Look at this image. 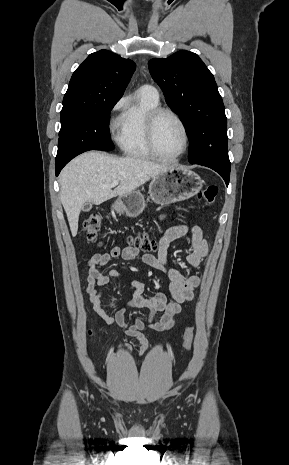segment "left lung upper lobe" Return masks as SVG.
Returning <instances> with one entry per match:
<instances>
[{"label": "left lung upper lobe", "mask_w": 289, "mask_h": 465, "mask_svg": "<svg viewBox=\"0 0 289 465\" xmlns=\"http://www.w3.org/2000/svg\"><path fill=\"white\" fill-rule=\"evenodd\" d=\"M167 104L181 118L190 141V163L230 165L227 118L213 74L195 53L182 50L148 62Z\"/></svg>", "instance_id": "5c2ea615"}]
</instances>
